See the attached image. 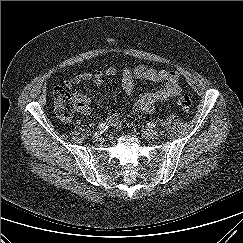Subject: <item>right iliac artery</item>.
Segmentation results:
<instances>
[{"label": "right iliac artery", "instance_id": "1", "mask_svg": "<svg viewBox=\"0 0 243 243\" xmlns=\"http://www.w3.org/2000/svg\"><path fill=\"white\" fill-rule=\"evenodd\" d=\"M109 126H110L109 122H104V123H101L99 125V129L102 130V131H105V130H107L109 128Z\"/></svg>", "mask_w": 243, "mask_h": 243}]
</instances>
